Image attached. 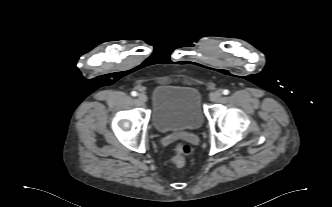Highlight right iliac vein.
Returning a JSON list of instances; mask_svg holds the SVG:
<instances>
[{
	"instance_id": "63e3f726",
	"label": "right iliac vein",
	"mask_w": 332,
	"mask_h": 207,
	"mask_svg": "<svg viewBox=\"0 0 332 207\" xmlns=\"http://www.w3.org/2000/svg\"><path fill=\"white\" fill-rule=\"evenodd\" d=\"M138 100L142 103H145L147 101V96L144 93L138 94Z\"/></svg>"
}]
</instances>
